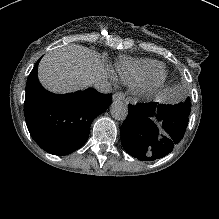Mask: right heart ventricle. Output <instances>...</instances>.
<instances>
[{
	"label": "right heart ventricle",
	"mask_w": 219,
	"mask_h": 219,
	"mask_svg": "<svg viewBox=\"0 0 219 219\" xmlns=\"http://www.w3.org/2000/svg\"><path fill=\"white\" fill-rule=\"evenodd\" d=\"M162 67V63L153 59L123 57L115 62L112 74L127 86H137Z\"/></svg>",
	"instance_id": "right-heart-ventricle-1"
}]
</instances>
